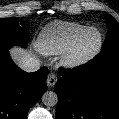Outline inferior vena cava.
Returning a JSON list of instances; mask_svg holds the SVG:
<instances>
[{
    "label": "inferior vena cava",
    "instance_id": "602c4592",
    "mask_svg": "<svg viewBox=\"0 0 119 119\" xmlns=\"http://www.w3.org/2000/svg\"><path fill=\"white\" fill-rule=\"evenodd\" d=\"M20 68L26 72H35L40 69V62L36 58L30 57L20 63Z\"/></svg>",
    "mask_w": 119,
    "mask_h": 119
}]
</instances>
